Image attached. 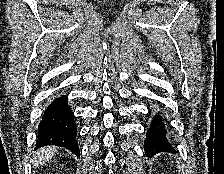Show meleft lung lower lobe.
I'll use <instances>...</instances> for the list:
<instances>
[{
  "mask_svg": "<svg viewBox=\"0 0 224 174\" xmlns=\"http://www.w3.org/2000/svg\"><path fill=\"white\" fill-rule=\"evenodd\" d=\"M144 151L148 157L159 152H174L167 138V130L160 111L154 112L144 141Z\"/></svg>",
  "mask_w": 224,
  "mask_h": 174,
  "instance_id": "1",
  "label": "left lung lower lobe"
}]
</instances>
